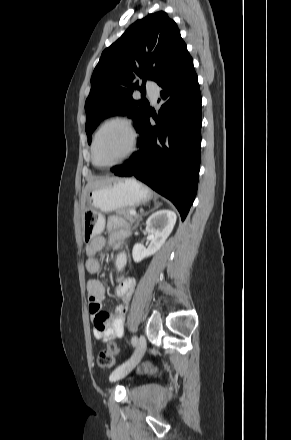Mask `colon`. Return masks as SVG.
I'll return each mask as SVG.
<instances>
[{"instance_id":"colon-1","label":"colon","mask_w":291,"mask_h":440,"mask_svg":"<svg viewBox=\"0 0 291 440\" xmlns=\"http://www.w3.org/2000/svg\"><path fill=\"white\" fill-rule=\"evenodd\" d=\"M120 353V347L117 343L111 342L108 349L99 352L97 357L98 365L102 369L110 368L114 363V356Z\"/></svg>"}]
</instances>
